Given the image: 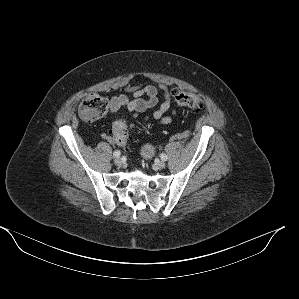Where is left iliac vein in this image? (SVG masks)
Returning a JSON list of instances; mask_svg holds the SVG:
<instances>
[{
    "instance_id": "4c4485c4",
    "label": "left iliac vein",
    "mask_w": 299,
    "mask_h": 299,
    "mask_svg": "<svg viewBox=\"0 0 299 299\" xmlns=\"http://www.w3.org/2000/svg\"><path fill=\"white\" fill-rule=\"evenodd\" d=\"M156 165H157L158 168L163 169V168H165L166 163H165L164 161L161 160V161H158V162L156 163Z\"/></svg>"
}]
</instances>
